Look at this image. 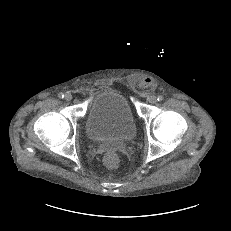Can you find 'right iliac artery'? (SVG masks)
Instances as JSON below:
<instances>
[{"mask_svg": "<svg viewBox=\"0 0 231 231\" xmlns=\"http://www.w3.org/2000/svg\"><path fill=\"white\" fill-rule=\"evenodd\" d=\"M64 96H65V95H64L63 93H59V94H58V97L61 98V99H63Z\"/></svg>", "mask_w": 231, "mask_h": 231, "instance_id": "1", "label": "right iliac artery"}]
</instances>
